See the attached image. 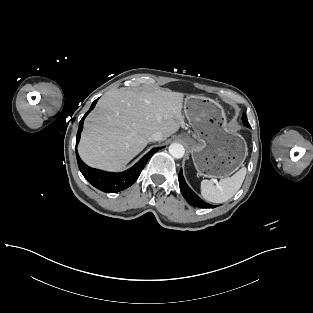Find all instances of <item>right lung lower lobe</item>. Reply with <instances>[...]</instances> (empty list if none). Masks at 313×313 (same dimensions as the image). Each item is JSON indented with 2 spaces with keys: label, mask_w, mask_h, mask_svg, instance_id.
<instances>
[{
  "label": "right lung lower lobe",
  "mask_w": 313,
  "mask_h": 313,
  "mask_svg": "<svg viewBox=\"0 0 313 313\" xmlns=\"http://www.w3.org/2000/svg\"><path fill=\"white\" fill-rule=\"evenodd\" d=\"M97 101L98 99L92 103L90 109L83 116L79 123V128L76 136V147L80 140L84 119L88 115V113L94 109ZM160 149V147L153 148L145 156H143L133 167L121 173L106 172L87 166L83 161H81L77 153V148L76 157L81 173L91 185L106 193H117L130 187L137 180L149 158Z\"/></svg>",
  "instance_id": "1"
}]
</instances>
